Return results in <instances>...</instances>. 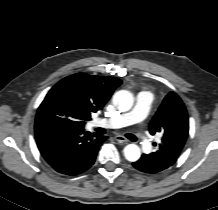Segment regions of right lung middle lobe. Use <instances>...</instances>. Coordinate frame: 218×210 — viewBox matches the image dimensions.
Here are the masks:
<instances>
[{
    "instance_id": "1",
    "label": "right lung middle lobe",
    "mask_w": 218,
    "mask_h": 210,
    "mask_svg": "<svg viewBox=\"0 0 218 210\" xmlns=\"http://www.w3.org/2000/svg\"><path fill=\"white\" fill-rule=\"evenodd\" d=\"M84 121L80 110L70 99L50 90L37 110L35 124L52 122L70 129H81Z\"/></svg>"
}]
</instances>
